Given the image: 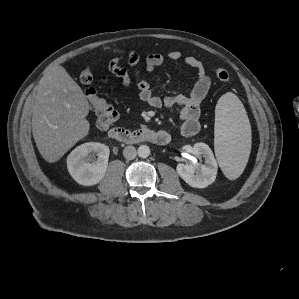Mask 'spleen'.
<instances>
[{"label":"spleen","mask_w":299,"mask_h":299,"mask_svg":"<svg viewBox=\"0 0 299 299\" xmlns=\"http://www.w3.org/2000/svg\"><path fill=\"white\" fill-rule=\"evenodd\" d=\"M215 154L224 175L234 180L245 169L251 150V127L239 98L228 92L215 108Z\"/></svg>","instance_id":"spleen-1"}]
</instances>
